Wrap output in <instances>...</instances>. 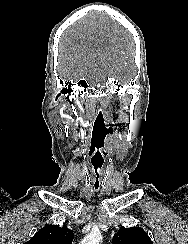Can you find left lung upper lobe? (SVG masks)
<instances>
[{"instance_id": "1", "label": "left lung upper lobe", "mask_w": 188, "mask_h": 244, "mask_svg": "<svg viewBox=\"0 0 188 244\" xmlns=\"http://www.w3.org/2000/svg\"><path fill=\"white\" fill-rule=\"evenodd\" d=\"M113 244H153L147 233L139 227H121L114 236Z\"/></svg>"}]
</instances>
